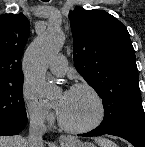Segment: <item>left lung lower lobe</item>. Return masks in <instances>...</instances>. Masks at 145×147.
Segmentation results:
<instances>
[{
	"label": "left lung lower lobe",
	"instance_id": "0a47b994",
	"mask_svg": "<svg viewBox=\"0 0 145 147\" xmlns=\"http://www.w3.org/2000/svg\"><path fill=\"white\" fill-rule=\"evenodd\" d=\"M103 134L115 135L126 139L135 147H145V121L135 122L131 124L115 127L111 130L94 129L80 136H101Z\"/></svg>",
	"mask_w": 145,
	"mask_h": 147
}]
</instances>
